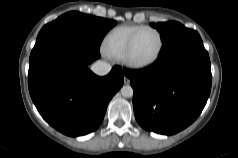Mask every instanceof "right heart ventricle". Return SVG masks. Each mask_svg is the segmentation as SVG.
Returning a JSON list of instances; mask_svg holds the SVG:
<instances>
[{"mask_svg": "<svg viewBox=\"0 0 238 158\" xmlns=\"http://www.w3.org/2000/svg\"><path fill=\"white\" fill-rule=\"evenodd\" d=\"M143 25H121L113 28L104 38V52L115 58H122L132 35Z\"/></svg>", "mask_w": 238, "mask_h": 158, "instance_id": "obj_1", "label": "right heart ventricle"}]
</instances>
